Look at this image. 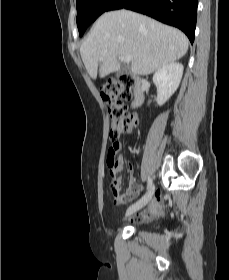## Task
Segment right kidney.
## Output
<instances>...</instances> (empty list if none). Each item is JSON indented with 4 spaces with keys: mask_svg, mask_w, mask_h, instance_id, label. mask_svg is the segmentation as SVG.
<instances>
[{
    "mask_svg": "<svg viewBox=\"0 0 229 280\" xmlns=\"http://www.w3.org/2000/svg\"><path fill=\"white\" fill-rule=\"evenodd\" d=\"M183 75L181 63H170L153 75V82L157 87V103L163 105L179 87Z\"/></svg>",
    "mask_w": 229,
    "mask_h": 280,
    "instance_id": "right-kidney-1",
    "label": "right kidney"
}]
</instances>
